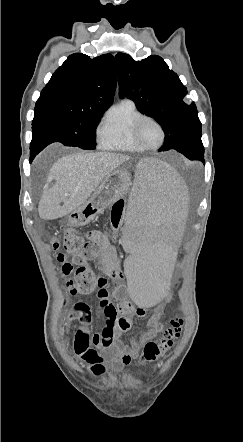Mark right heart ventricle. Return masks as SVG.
<instances>
[{"instance_id": "1", "label": "right heart ventricle", "mask_w": 243, "mask_h": 442, "mask_svg": "<svg viewBox=\"0 0 243 442\" xmlns=\"http://www.w3.org/2000/svg\"><path fill=\"white\" fill-rule=\"evenodd\" d=\"M142 115L144 113L130 99L111 107L97 132L100 145L111 151L142 153L144 149L133 138V126Z\"/></svg>"}]
</instances>
